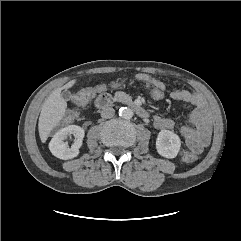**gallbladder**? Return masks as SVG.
<instances>
[{
    "label": "gallbladder",
    "instance_id": "gallbladder-1",
    "mask_svg": "<svg viewBox=\"0 0 241 241\" xmlns=\"http://www.w3.org/2000/svg\"><path fill=\"white\" fill-rule=\"evenodd\" d=\"M63 99H65L66 101L70 100L72 95L69 91L67 90H64L62 93H61Z\"/></svg>",
    "mask_w": 241,
    "mask_h": 241
}]
</instances>
